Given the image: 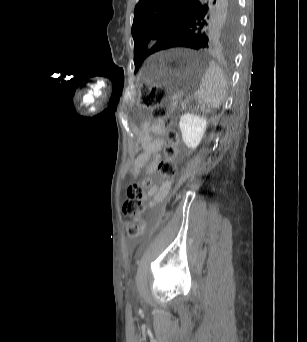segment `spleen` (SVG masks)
<instances>
[{"mask_svg":"<svg viewBox=\"0 0 307 342\" xmlns=\"http://www.w3.org/2000/svg\"><path fill=\"white\" fill-rule=\"evenodd\" d=\"M226 88V78L221 68L215 64V59L211 58L209 68L200 82V92L196 98L198 104H202L204 114H216V108H220L225 98Z\"/></svg>","mask_w":307,"mask_h":342,"instance_id":"obj_1","label":"spleen"}]
</instances>
